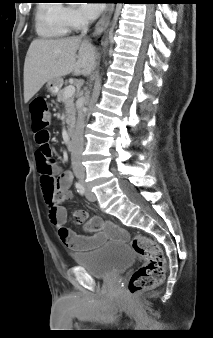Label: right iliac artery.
Listing matches in <instances>:
<instances>
[{
    "mask_svg": "<svg viewBox=\"0 0 213 338\" xmlns=\"http://www.w3.org/2000/svg\"><path fill=\"white\" fill-rule=\"evenodd\" d=\"M75 187H76L77 192L80 193L81 195L85 193V188L80 182H76Z\"/></svg>",
    "mask_w": 213,
    "mask_h": 338,
    "instance_id": "obj_1",
    "label": "right iliac artery"
}]
</instances>
